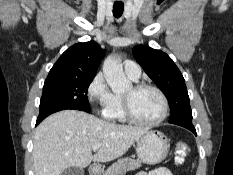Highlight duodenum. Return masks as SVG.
Returning a JSON list of instances; mask_svg holds the SVG:
<instances>
[{"label":"duodenum","mask_w":233,"mask_h":175,"mask_svg":"<svg viewBox=\"0 0 233 175\" xmlns=\"http://www.w3.org/2000/svg\"><path fill=\"white\" fill-rule=\"evenodd\" d=\"M99 169L96 166H91L90 168V175H98Z\"/></svg>","instance_id":"410a0bca"}]
</instances>
